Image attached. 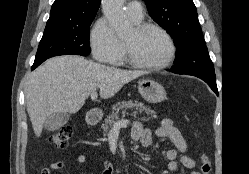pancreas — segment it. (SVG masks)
Listing matches in <instances>:
<instances>
[{
    "label": "pancreas",
    "instance_id": "1",
    "mask_svg": "<svg viewBox=\"0 0 249 174\" xmlns=\"http://www.w3.org/2000/svg\"><path fill=\"white\" fill-rule=\"evenodd\" d=\"M127 110L133 111V114H135L137 111L138 112L145 111L147 116H151L152 118H157L155 112L152 109H150V107L145 106L144 103L142 102L131 101V100L118 102L112 108V113L107 116V118L104 120V123L101 126L104 135H106L107 132L112 128L114 121L119 118V113L121 112L122 116H125V114H128Z\"/></svg>",
    "mask_w": 249,
    "mask_h": 174
}]
</instances>
